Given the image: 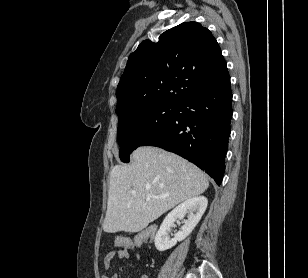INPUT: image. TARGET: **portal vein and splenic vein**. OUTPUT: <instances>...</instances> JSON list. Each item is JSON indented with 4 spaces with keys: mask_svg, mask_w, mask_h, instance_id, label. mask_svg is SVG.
I'll return each mask as SVG.
<instances>
[{
    "mask_svg": "<svg viewBox=\"0 0 308 278\" xmlns=\"http://www.w3.org/2000/svg\"><path fill=\"white\" fill-rule=\"evenodd\" d=\"M148 189H149V187H147V190H148ZM132 193L135 194L136 191L133 190ZM147 196H148V197H152V198H160V199H163V198L166 197L165 195H163V196H154V195H150V194H147Z\"/></svg>",
    "mask_w": 308,
    "mask_h": 278,
    "instance_id": "1",
    "label": "portal vein and splenic vein"
}]
</instances>
